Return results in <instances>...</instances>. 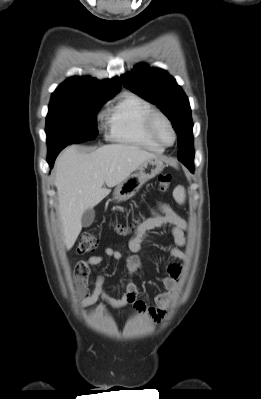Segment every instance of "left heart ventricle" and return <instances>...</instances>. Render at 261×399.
<instances>
[{"instance_id":"left-heart-ventricle-1","label":"left heart ventricle","mask_w":261,"mask_h":399,"mask_svg":"<svg viewBox=\"0 0 261 399\" xmlns=\"http://www.w3.org/2000/svg\"><path fill=\"white\" fill-rule=\"evenodd\" d=\"M156 132L164 143L166 144L172 143L173 141L172 131L168 126V124L161 118H158L156 120Z\"/></svg>"}]
</instances>
